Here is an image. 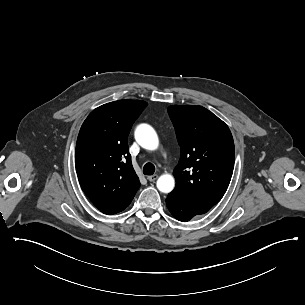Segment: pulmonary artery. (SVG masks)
<instances>
[{
    "label": "pulmonary artery",
    "mask_w": 305,
    "mask_h": 305,
    "mask_svg": "<svg viewBox=\"0 0 305 305\" xmlns=\"http://www.w3.org/2000/svg\"><path fill=\"white\" fill-rule=\"evenodd\" d=\"M159 156H160V158H162V159H166V158H168L169 153H168V151H166V150H162V151H160Z\"/></svg>",
    "instance_id": "e3ab8cb5"
}]
</instances>
